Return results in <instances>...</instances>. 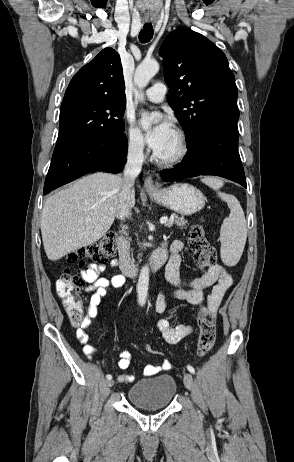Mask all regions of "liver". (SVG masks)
<instances>
[{"label":"liver","mask_w":294,"mask_h":462,"mask_svg":"<svg viewBox=\"0 0 294 462\" xmlns=\"http://www.w3.org/2000/svg\"><path fill=\"white\" fill-rule=\"evenodd\" d=\"M121 188L120 177L97 172L48 197L40 223L48 259L59 260L106 234L115 219ZM134 205L135 190L131 208Z\"/></svg>","instance_id":"liver-1"}]
</instances>
